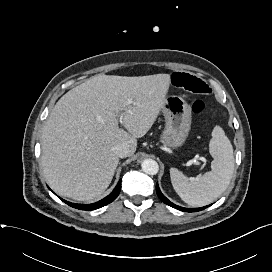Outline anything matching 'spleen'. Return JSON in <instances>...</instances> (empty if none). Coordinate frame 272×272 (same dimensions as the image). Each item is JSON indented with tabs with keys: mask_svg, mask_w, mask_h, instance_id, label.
<instances>
[{
	"mask_svg": "<svg viewBox=\"0 0 272 272\" xmlns=\"http://www.w3.org/2000/svg\"><path fill=\"white\" fill-rule=\"evenodd\" d=\"M209 151L213 157L211 171L203 176L188 177L176 168L170 169L174 190L190 206L212 203L228 187L234 173L233 147L220 126H215Z\"/></svg>",
	"mask_w": 272,
	"mask_h": 272,
	"instance_id": "spleen-1",
	"label": "spleen"
}]
</instances>
